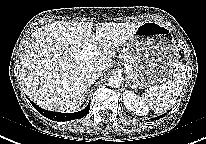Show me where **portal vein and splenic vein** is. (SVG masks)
I'll list each match as a JSON object with an SVG mask.
<instances>
[{
	"instance_id": "18ae733b",
	"label": "portal vein and splenic vein",
	"mask_w": 206,
	"mask_h": 144,
	"mask_svg": "<svg viewBox=\"0 0 206 144\" xmlns=\"http://www.w3.org/2000/svg\"><path fill=\"white\" fill-rule=\"evenodd\" d=\"M99 54L97 46L94 44H89L87 47H84L81 51L75 53V57L81 60L92 59ZM126 68V73L129 74V65L124 64Z\"/></svg>"
}]
</instances>
